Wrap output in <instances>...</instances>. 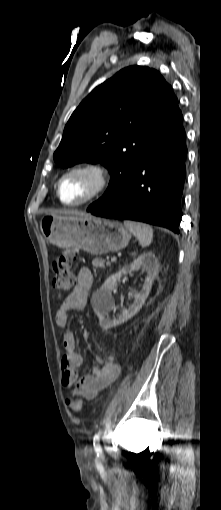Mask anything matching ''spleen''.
Returning a JSON list of instances; mask_svg holds the SVG:
<instances>
[{
	"label": "spleen",
	"mask_w": 221,
	"mask_h": 510,
	"mask_svg": "<svg viewBox=\"0 0 221 510\" xmlns=\"http://www.w3.org/2000/svg\"><path fill=\"white\" fill-rule=\"evenodd\" d=\"M124 225L126 229L136 236L142 247H147L151 244L153 239V229L151 226L130 220H125Z\"/></svg>",
	"instance_id": "spleen-1"
}]
</instances>
